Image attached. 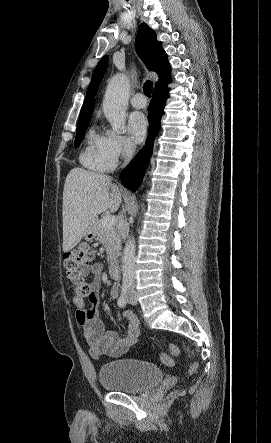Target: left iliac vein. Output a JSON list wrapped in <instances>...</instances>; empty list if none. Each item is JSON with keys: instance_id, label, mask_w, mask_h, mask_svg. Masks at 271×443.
<instances>
[{"instance_id": "obj_1", "label": "left iliac vein", "mask_w": 271, "mask_h": 443, "mask_svg": "<svg viewBox=\"0 0 271 443\" xmlns=\"http://www.w3.org/2000/svg\"><path fill=\"white\" fill-rule=\"evenodd\" d=\"M128 302L131 305H136L137 304V297L134 293L130 294L129 298H128Z\"/></svg>"}]
</instances>
